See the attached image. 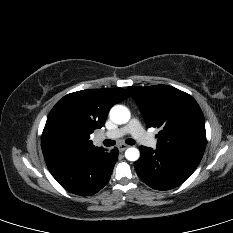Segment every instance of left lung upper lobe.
Wrapping results in <instances>:
<instances>
[{"label": "left lung upper lobe", "instance_id": "left-lung-upper-lobe-1", "mask_svg": "<svg viewBox=\"0 0 233 233\" xmlns=\"http://www.w3.org/2000/svg\"><path fill=\"white\" fill-rule=\"evenodd\" d=\"M148 127L160 128L157 148L204 152L205 119L189 94L167 85L128 87Z\"/></svg>", "mask_w": 233, "mask_h": 233}]
</instances>
